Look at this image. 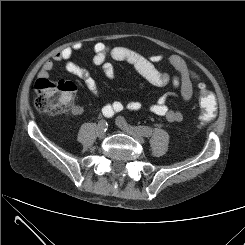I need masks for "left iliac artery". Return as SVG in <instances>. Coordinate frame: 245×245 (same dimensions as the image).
<instances>
[{
	"label": "left iliac artery",
	"mask_w": 245,
	"mask_h": 245,
	"mask_svg": "<svg viewBox=\"0 0 245 245\" xmlns=\"http://www.w3.org/2000/svg\"><path fill=\"white\" fill-rule=\"evenodd\" d=\"M121 123L124 126L131 127L133 129H135L137 132H139L143 136L148 137V136H150L152 134V129L150 127H147V126H132V125L128 124V122L123 117H121Z\"/></svg>",
	"instance_id": "44dca946"
}]
</instances>
